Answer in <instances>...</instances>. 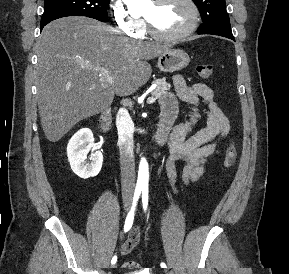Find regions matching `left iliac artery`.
I'll return each instance as SVG.
<instances>
[{"mask_svg":"<svg viewBox=\"0 0 289 274\" xmlns=\"http://www.w3.org/2000/svg\"><path fill=\"white\" fill-rule=\"evenodd\" d=\"M142 204H143V209L146 212L147 207H148V188L147 187L143 188L142 190ZM160 266L162 268H167L164 262H161Z\"/></svg>","mask_w":289,"mask_h":274,"instance_id":"1","label":"left iliac artery"}]
</instances>
